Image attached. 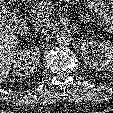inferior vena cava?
I'll return each instance as SVG.
<instances>
[{
  "label": "inferior vena cava",
  "mask_w": 113,
  "mask_h": 113,
  "mask_svg": "<svg viewBox=\"0 0 113 113\" xmlns=\"http://www.w3.org/2000/svg\"><path fill=\"white\" fill-rule=\"evenodd\" d=\"M50 28H51L50 24H40L35 27V33H40V34L47 33Z\"/></svg>",
  "instance_id": "602c4592"
}]
</instances>
